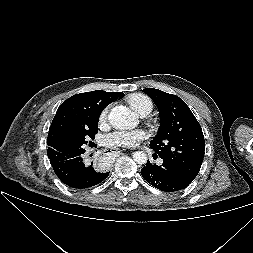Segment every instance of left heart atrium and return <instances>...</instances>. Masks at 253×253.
I'll list each match as a JSON object with an SVG mask.
<instances>
[{"instance_id": "39dd6f15", "label": "left heart atrium", "mask_w": 253, "mask_h": 253, "mask_svg": "<svg viewBox=\"0 0 253 253\" xmlns=\"http://www.w3.org/2000/svg\"><path fill=\"white\" fill-rule=\"evenodd\" d=\"M148 133L143 129L118 130L104 137V144L112 147H134L146 139Z\"/></svg>"}]
</instances>
